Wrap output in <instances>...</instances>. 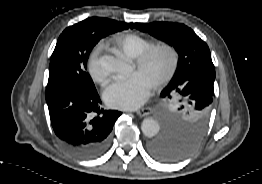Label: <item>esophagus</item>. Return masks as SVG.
Segmentation results:
<instances>
[{"instance_id": "1", "label": "esophagus", "mask_w": 262, "mask_h": 184, "mask_svg": "<svg viewBox=\"0 0 262 184\" xmlns=\"http://www.w3.org/2000/svg\"><path fill=\"white\" fill-rule=\"evenodd\" d=\"M136 113L140 117H144V116H147V115L152 113V108H150V107L142 108V109L138 110Z\"/></svg>"}]
</instances>
